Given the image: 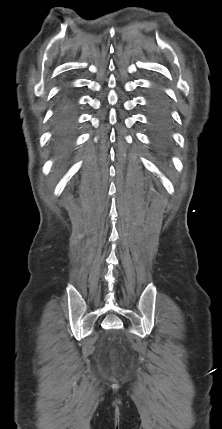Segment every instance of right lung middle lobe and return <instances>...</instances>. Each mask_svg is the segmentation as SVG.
<instances>
[{
	"mask_svg": "<svg viewBox=\"0 0 222 429\" xmlns=\"http://www.w3.org/2000/svg\"><path fill=\"white\" fill-rule=\"evenodd\" d=\"M58 128V127H57ZM58 131H59V135L60 136H63V135H65L67 132L65 131V130H63V129H61V128H58Z\"/></svg>",
	"mask_w": 222,
	"mask_h": 429,
	"instance_id": "right-lung-middle-lobe-1",
	"label": "right lung middle lobe"
}]
</instances>
